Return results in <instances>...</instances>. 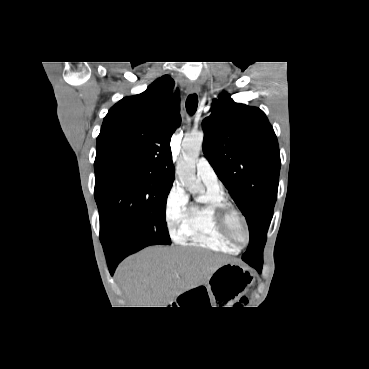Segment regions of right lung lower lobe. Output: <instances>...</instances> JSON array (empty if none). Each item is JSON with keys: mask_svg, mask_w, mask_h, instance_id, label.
I'll list each match as a JSON object with an SVG mask.
<instances>
[{"mask_svg": "<svg viewBox=\"0 0 369 369\" xmlns=\"http://www.w3.org/2000/svg\"><path fill=\"white\" fill-rule=\"evenodd\" d=\"M102 246L111 274L114 273L116 266L122 259L145 247L133 238H116Z\"/></svg>", "mask_w": 369, "mask_h": 369, "instance_id": "right-lung-lower-lobe-1", "label": "right lung lower lobe"}]
</instances>
